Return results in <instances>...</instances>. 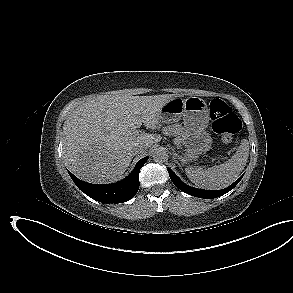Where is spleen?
<instances>
[{"label":"spleen","instance_id":"spleen-1","mask_svg":"<svg viewBox=\"0 0 293 293\" xmlns=\"http://www.w3.org/2000/svg\"><path fill=\"white\" fill-rule=\"evenodd\" d=\"M249 156L248 140L243 139L236 153L225 163L208 169L188 167L185 169L187 177L196 186L218 190L231 185L244 169Z\"/></svg>","mask_w":293,"mask_h":293}]
</instances>
